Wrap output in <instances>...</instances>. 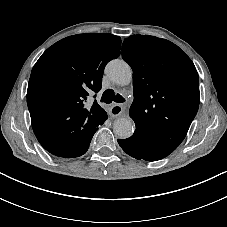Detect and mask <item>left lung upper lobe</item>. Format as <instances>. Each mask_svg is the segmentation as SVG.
<instances>
[{"mask_svg": "<svg viewBox=\"0 0 227 227\" xmlns=\"http://www.w3.org/2000/svg\"><path fill=\"white\" fill-rule=\"evenodd\" d=\"M122 58L133 70L134 101L129 114L135 132L174 151L199 107V77L193 62L174 43L142 35L124 40Z\"/></svg>", "mask_w": 227, "mask_h": 227, "instance_id": "left-lung-upper-lobe-1", "label": "left lung upper lobe"}]
</instances>
